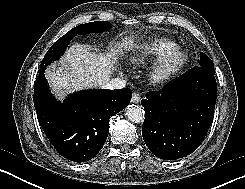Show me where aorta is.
Returning <instances> with one entry per match:
<instances>
[{
    "label": "aorta",
    "mask_w": 245,
    "mask_h": 189,
    "mask_svg": "<svg viewBox=\"0 0 245 189\" xmlns=\"http://www.w3.org/2000/svg\"><path fill=\"white\" fill-rule=\"evenodd\" d=\"M125 115L133 123L143 122L145 117L143 108L133 104L126 108Z\"/></svg>",
    "instance_id": "obj_1"
}]
</instances>
